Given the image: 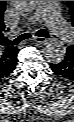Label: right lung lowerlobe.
<instances>
[{
	"instance_id": "obj_1",
	"label": "right lung lower lobe",
	"mask_w": 74,
	"mask_h": 122,
	"mask_svg": "<svg viewBox=\"0 0 74 122\" xmlns=\"http://www.w3.org/2000/svg\"><path fill=\"white\" fill-rule=\"evenodd\" d=\"M16 62H17V60H16ZM16 62L14 63V65L12 66V68L7 73H5L3 76L0 75V81H1L2 78L8 77L13 72V70L15 69Z\"/></svg>"
}]
</instances>
